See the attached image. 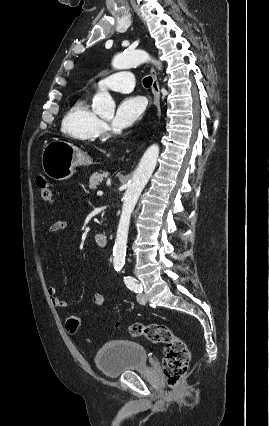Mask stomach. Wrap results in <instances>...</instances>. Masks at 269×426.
Returning <instances> with one entry per match:
<instances>
[{
    "label": "stomach",
    "instance_id": "0dacf381",
    "mask_svg": "<svg viewBox=\"0 0 269 426\" xmlns=\"http://www.w3.org/2000/svg\"><path fill=\"white\" fill-rule=\"evenodd\" d=\"M91 164L90 157L72 143L54 139L42 152V168L45 175L56 181L71 178L78 166Z\"/></svg>",
    "mask_w": 269,
    "mask_h": 426
}]
</instances>
